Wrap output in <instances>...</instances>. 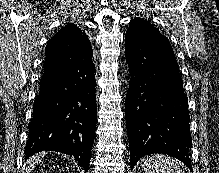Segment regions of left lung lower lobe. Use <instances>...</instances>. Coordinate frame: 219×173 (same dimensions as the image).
<instances>
[{"instance_id": "1", "label": "left lung lower lobe", "mask_w": 219, "mask_h": 173, "mask_svg": "<svg viewBox=\"0 0 219 173\" xmlns=\"http://www.w3.org/2000/svg\"><path fill=\"white\" fill-rule=\"evenodd\" d=\"M125 42L131 72L125 101L131 169L141 157L162 153L192 170L188 102L169 41L125 38Z\"/></svg>"}]
</instances>
